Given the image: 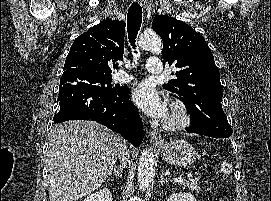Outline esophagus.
Wrapping results in <instances>:
<instances>
[{
  "label": "esophagus",
  "mask_w": 271,
  "mask_h": 201,
  "mask_svg": "<svg viewBox=\"0 0 271 201\" xmlns=\"http://www.w3.org/2000/svg\"><path fill=\"white\" fill-rule=\"evenodd\" d=\"M139 3H142L143 0H137ZM150 142L156 146L161 145L163 143L161 134L155 130L150 133Z\"/></svg>",
  "instance_id": "34e87169"
}]
</instances>
